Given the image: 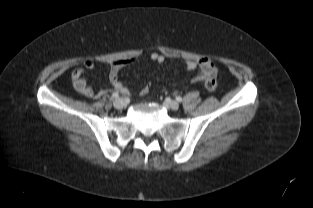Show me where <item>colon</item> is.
I'll return each mask as SVG.
<instances>
[{
    "label": "colon",
    "mask_w": 313,
    "mask_h": 208,
    "mask_svg": "<svg viewBox=\"0 0 313 208\" xmlns=\"http://www.w3.org/2000/svg\"><path fill=\"white\" fill-rule=\"evenodd\" d=\"M204 86L207 90L209 91H215L218 87V83H217V75L212 74L210 76H208L205 80H204ZM149 91V85H146L143 89H142V93L143 94H147Z\"/></svg>",
    "instance_id": "5ec220e1"
}]
</instances>
